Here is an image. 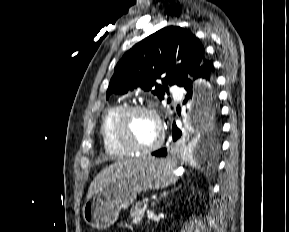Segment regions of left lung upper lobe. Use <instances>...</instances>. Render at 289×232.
Returning <instances> with one entry per match:
<instances>
[{
    "instance_id": "obj_1",
    "label": "left lung upper lobe",
    "mask_w": 289,
    "mask_h": 232,
    "mask_svg": "<svg viewBox=\"0 0 289 232\" xmlns=\"http://www.w3.org/2000/svg\"><path fill=\"white\" fill-rule=\"evenodd\" d=\"M204 47L188 30L168 26L134 45L117 63L107 89L112 94H125L136 88L164 98L168 85L183 87L194 75L204 59ZM162 79L163 85L156 80ZM220 121L218 114L200 121L181 143L186 149L213 153L219 148Z\"/></svg>"
}]
</instances>
